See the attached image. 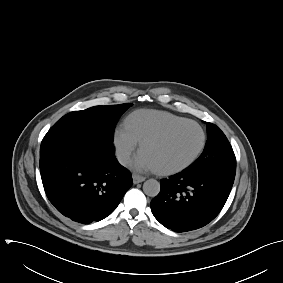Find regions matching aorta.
<instances>
[{"mask_svg": "<svg viewBox=\"0 0 283 283\" xmlns=\"http://www.w3.org/2000/svg\"><path fill=\"white\" fill-rule=\"evenodd\" d=\"M143 191L146 195L155 197L160 192V183L155 179H149L144 182Z\"/></svg>", "mask_w": 283, "mask_h": 283, "instance_id": "obj_1", "label": "aorta"}]
</instances>
